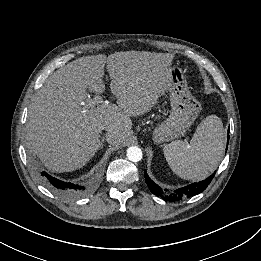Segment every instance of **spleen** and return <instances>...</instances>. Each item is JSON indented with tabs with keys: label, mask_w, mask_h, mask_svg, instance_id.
<instances>
[{
	"label": "spleen",
	"mask_w": 261,
	"mask_h": 261,
	"mask_svg": "<svg viewBox=\"0 0 261 261\" xmlns=\"http://www.w3.org/2000/svg\"><path fill=\"white\" fill-rule=\"evenodd\" d=\"M224 151L223 124L216 115L207 116L190 143L173 141L163 148L171 170L186 180H202L220 163Z\"/></svg>",
	"instance_id": "obj_1"
}]
</instances>
